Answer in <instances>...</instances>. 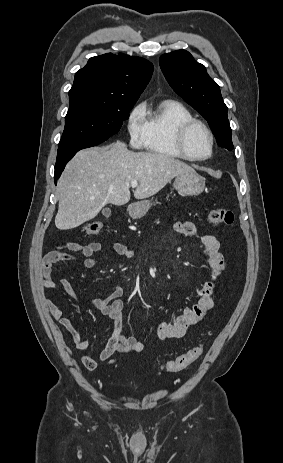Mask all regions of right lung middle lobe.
<instances>
[{
    "label": "right lung middle lobe",
    "mask_w": 283,
    "mask_h": 463,
    "mask_svg": "<svg viewBox=\"0 0 283 463\" xmlns=\"http://www.w3.org/2000/svg\"><path fill=\"white\" fill-rule=\"evenodd\" d=\"M69 100L65 128L58 148L107 140L120 130L136 102L85 93L69 94Z\"/></svg>",
    "instance_id": "right-lung-middle-lobe-1"
}]
</instances>
